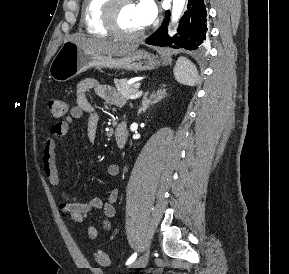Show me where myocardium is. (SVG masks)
Returning a JSON list of instances; mask_svg holds the SVG:
<instances>
[{"mask_svg": "<svg viewBox=\"0 0 289 274\" xmlns=\"http://www.w3.org/2000/svg\"><path fill=\"white\" fill-rule=\"evenodd\" d=\"M133 0H108L103 9V24L108 32L116 38L122 40H136L143 37L146 28L134 33H127L120 29L118 24V12L122 5L133 4Z\"/></svg>", "mask_w": 289, "mask_h": 274, "instance_id": "1", "label": "myocardium"}]
</instances>
